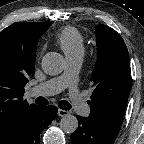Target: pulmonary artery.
I'll return each instance as SVG.
<instances>
[{
	"label": "pulmonary artery",
	"instance_id": "1",
	"mask_svg": "<svg viewBox=\"0 0 144 144\" xmlns=\"http://www.w3.org/2000/svg\"><path fill=\"white\" fill-rule=\"evenodd\" d=\"M81 62L82 55L67 57L63 74L37 85L31 94L33 96H51L61 92L65 88H69V96L75 111L82 116L88 115L90 111L89 107L74 85V79L79 71Z\"/></svg>",
	"mask_w": 144,
	"mask_h": 144
}]
</instances>
